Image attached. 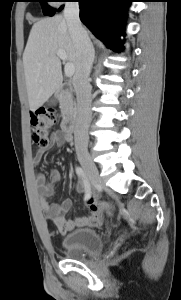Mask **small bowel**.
I'll return each instance as SVG.
<instances>
[{
  "label": "small bowel",
  "mask_w": 181,
  "mask_h": 300,
  "mask_svg": "<svg viewBox=\"0 0 181 300\" xmlns=\"http://www.w3.org/2000/svg\"><path fill=\"white\" fill-rule=\"evenodd\" d=\"M73 137L71 134L66 133L63 130H58L51 135L49 144L45 148L39 149L34 157L35 163H40L47 150L60 146L64 143H72ZM62 179L61 173L57 169H52L47 177L44 173H38L36 176V183L40 188V200L43 212L46 218L54 223L57 230L61 234H66L77 227L96 226L100 223L102 218L95 217L93 215L77 217L73 220H67L65 215L72 208V200L65 199L61 204H55L50 201V198L55 193V185ZM78 192L84 191L82 183L78 182L76 185ZM91 199H95L93 196H84V200L88 202Z\"/></svg>",
  "instance_id": "1"
}]
</instances>
